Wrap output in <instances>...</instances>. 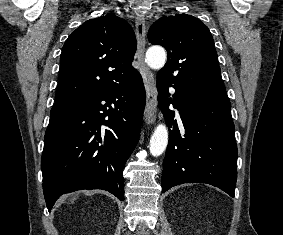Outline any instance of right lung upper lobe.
Instances as JSON below:
<instances>
[{
  "label": "right lung upper lobe",
  "instance_id": "1",
  "mask_svg": "<svg viewBox=\"0 0 283 235\" xmlns=\"http://www.w3.org/2000/svg\"><path fill=\"white\" fill-rule=\"evenodd\" d=\"M135 51L134 31L124 19L106 14L84 22L62 48L55 105L133 78Z\"/></svg>",
  "mask_w": 283,
  "mask_h": 235
}]
</instances>
